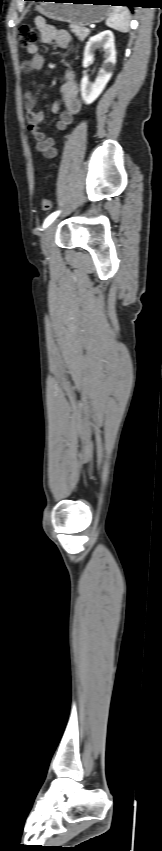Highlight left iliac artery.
I'll use <instances>...</instances> for the list:
<instances>
[{"label": "left iliac artery", "instance_id": "44dca946", "mask_svg": "<svg viewBox=\"0 0 162 851\" xmlns=\"http://www.w3.org/2000/svg\"><path fill=\"white\" fill-rule=\"evenodd\" d=\"M59 213H60V211H56V212L52 213L51 215H49L45 219L43 227L44 228L48 227L56 219V217L59 215Z\"/></svg>", "mask_w": 162, "mask_h": 851}]
</instances>
